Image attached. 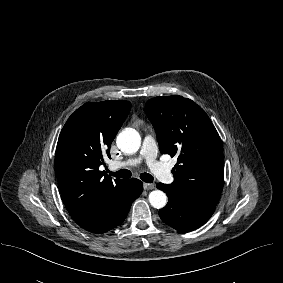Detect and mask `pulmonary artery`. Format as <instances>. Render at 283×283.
Instances as JSON below:
<instances>
[{"label":"pulmonary artery","mask_w":283,"mask_h":283,"mask_svg":"<svg viewBox=\"0 0 283 283\" xmlns=\"http://www.w3.org/2000/svg\"><path fill=\"white\" fill-rule=\"evenodd\" d=\"M145 161L150 170L165 183H170L173 180V176L170 168L157 160V146L154 138L147 134L144 136L140 153L137 157L130 158L124 161H113L111 167L113 169H119L124 167H132L139 164L141 161Z\"/></svg>","instance_id":"obj_1"}]
</instances>
